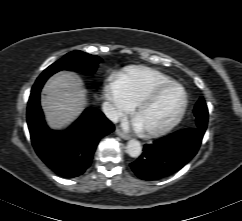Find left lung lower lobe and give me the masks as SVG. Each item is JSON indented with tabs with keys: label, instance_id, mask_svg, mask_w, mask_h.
<instances>
[{
	"label": "left lung lower lobe",
	"instance_id": "0a47b994",
	"mask_svg": "<svg viewBox=\"0 0 242 221\" xmlns=\"http://www.w3.org/2000/svg\"><path fill=\"white\" fill-rule=\"evenodd\" d=\"M206 128L192 127L145 144L142 155L130 164L142 180H157L180 170L198 152Z\"/></svg>",
	"mask_w": 242,
	"mask_h": 221
}]
</instances>
